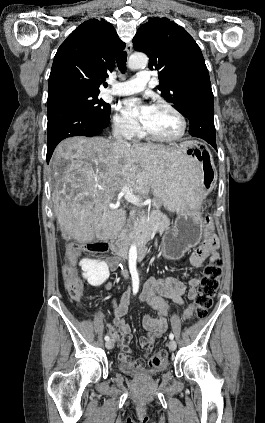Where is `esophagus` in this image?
<instances>
[{"instance_id": "34e87169", "label": "esophagus", "mask_w": 265, "mask_h": 423, "mask_svg": "<svg viewBox=\"0 0 265 423\" xmlns=\"http://www.w3.org/2000/svg\"><path fill=\"white\" fill-rule=\"evenodd\" d=\"M126 51H127L128 55H130L132 53V43L131 42L127 43Z\"/></svg>"}]
</instances>
